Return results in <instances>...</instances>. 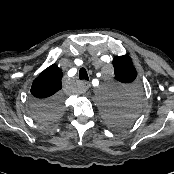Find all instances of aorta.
<instances>
[{"label":"aorta","mask_w":174,"mask_h":174,"mask_svg":"<svg viewBox=\"0 0 174 174\" xmlns=\"http://www.w3.org/2000/svg\"><path fill=\"white\" fill-rule=\"evenodd\" d=\"M99 93L104 100H108L111 98L113 91L111 89H105L104 87H100Z\"/></svg>","instance_id":"1"}]
</instances>
